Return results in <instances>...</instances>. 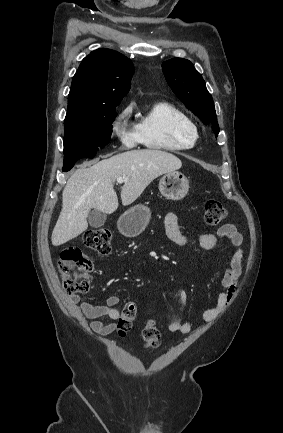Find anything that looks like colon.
<instances>
[{"label": "colon", "mask_w": 283, "mask_h": 433, "mask_svg": "<svg viewBox=\"0 0 283 433\" xmlns=\"http://www.w3.org/2000/svg\"><path fill=\"white\" fill-rule=\"evenodd\" d=\"M202 210L204 221L210 226H218L228 217L226 209L217 200H206ZM84 244L98 255H107L111 249L110 232L105 229L90 230L84 235ZM92 268L91 259L79 248H65L58 262L64 291L68 295L86 292L89 288V273ZM136 314L137 307L134 303L125 304L117 322V332L121 337L132 329ZM142 339L147 348L154 349L158 346L160 332L153 321H148L143 327Z\"/></svg>", "instance_id": "obj_1"}]
</instances>
